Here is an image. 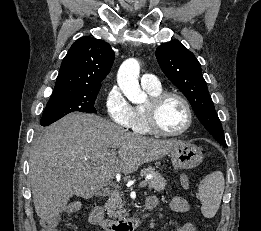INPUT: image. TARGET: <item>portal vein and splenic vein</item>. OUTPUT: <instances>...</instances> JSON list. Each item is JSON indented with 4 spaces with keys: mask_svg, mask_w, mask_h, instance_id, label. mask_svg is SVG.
Here are the masks:
<instances>
[{
    "mask_svg": "<svg viewBox=\"0 0 261 231\" xmlns=\"http://www.w3.org/2000/svg\"><path fill=\"white\" fill-rule=\"evenodd\" d=\"M149 178H152V175L147 176L146 179L143 180V181H141L138 186H139L140 188L145 187V186L147 185V179H149ZM117 187H119V186L117 185Z\"/></svg>",
    "mask_w": 261,
    "mask_h": 231,
    "instance_id": "18ae733b",
    "label": "portal vein and splenic vein"
}]
</instances>
